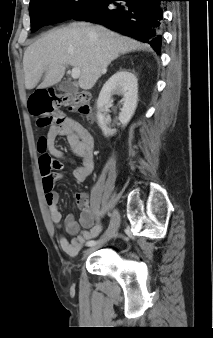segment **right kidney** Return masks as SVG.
I'll return each mask as SVG.
<instances>
[{
  "label": "right kidney",
  "instance_id": "1",
  "mask_svg": "<svg viewBox=\"0 0 213 338\" xmlns=\"http://www.w3.org/2000/svg\"><path fill=\"white\" fill-rule=\"evenodd\" d=\"M114 94L123 96L124 103L119 120L123 126H126L137 107L138 80L136 76L127 70H120L112 75L103 85L97 100V121L105 136H112L116 133L115 129L107 127L105 116L101 112L103 106L112 102V95Z\"/></svg>",
  "mask_w": 213,
  "mask_h": 338
}]
</instances>
